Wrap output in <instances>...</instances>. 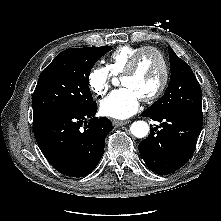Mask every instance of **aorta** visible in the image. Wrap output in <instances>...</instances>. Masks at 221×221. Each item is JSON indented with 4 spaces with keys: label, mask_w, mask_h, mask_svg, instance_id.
Returning a JSON list of instances; mask_svg holds the SVG:
<instances>
[{
    "label": "aorta",
    "mask_w": 221,
    "mask_h": 221,
    "mask_svg": "<svg viewBox=\"0 0 221 221\" xmlns=\"http://www.w3.org/2000/svg\"><path fill=\"white\" fill-rule=\"evenodd\" d=\"M130 131L134 136L143 138L148 134L149 126L144 121H135L131 124Z\"/></svg>",
    "instance_id": "aorta-1"
}]
</instances>
